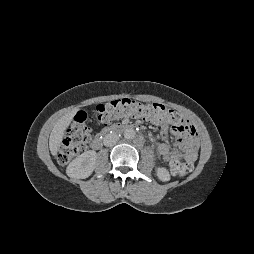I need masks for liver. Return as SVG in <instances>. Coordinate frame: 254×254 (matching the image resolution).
Here are the masks:
<instances>
[{
  "mask_svg": "<svg viewBox=\"0 0 254 254\" xmlns=\"http://www.w3.org/2000/svg\"><path fill=\"white\" fill-rule=\"evenodd\" d=\"M78 109L73 110L63 117H61L55 124V126L52 129V132L50 134L49 138V148L50 152L53 156H56L59 150V146L63 140L64 132L70 125L72 118L77 113Z\"/></svg>",
  "mask_w": 254,
  "mask_h": 254,
  "instance_id": "liver-1",
  "label": "liver"
}]
</instances>
